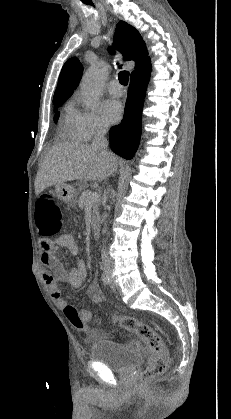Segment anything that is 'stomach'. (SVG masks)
Listing matches in <instances>:
<instances>
[{
	"label": "stomach",
	"instance_id": "stomach-1",
	"mask_svg": "<svg viewBox=\"0 0 231 419\" xmlns=\"http://www.w3.org/2000/svg\"><path fill=\"white\" fill-rule=\"evenodd\" d=\"M78 191V189L66 183L55 186V193L58 199L68 204H73L75 202Z\"/></svg>",
	"mask_w": 231,
	"mask_h": 419
}]
</instances>
